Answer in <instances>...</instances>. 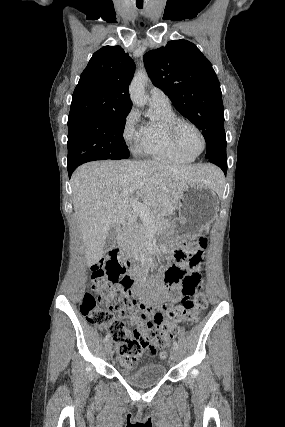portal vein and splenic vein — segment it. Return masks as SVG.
I'll use <instances>...</instances> for the list:
<instances>
[{"label":"portal vein and splenic vein","mask_w":285,"mask_h":427,"mask_svg":"<svg viewBox=\"0 0 285 427\" xmlns=\"http://www.w3.org/2000/svg\"><path fill=\"white\" fill-rule=\"evenodd\" d=\"M141 186L142 184H135L132 186L130 190L132 191V190L140 189ZM130 204L132 206L134 213L141 216L144 220L152 219L153 215L157 212L156 210L151 211L147 206H145L144 204L134 199L130 200Z\"/></svg>","instance_id":"1"}]
</instances>
